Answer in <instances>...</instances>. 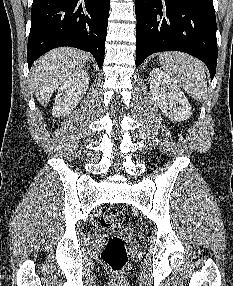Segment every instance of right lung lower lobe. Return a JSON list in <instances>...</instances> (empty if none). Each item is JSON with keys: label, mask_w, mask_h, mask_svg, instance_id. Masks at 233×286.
<instances>
[{"label": "right lung lower lobe", "mask_w": 233, "mask_h": 286, "mask_svg": "<svg viewBox=\"0 0 233 286\" xmlns=\"http://www.w3.org/2000/svg\"><path fill=\"white\" fill-rule=\"evenodd\" d=\"M110 0H33L27 61L61 46L90 52L102 68Z\"/></svg>", "instance_id": "98d812e1"}]
</instances>
